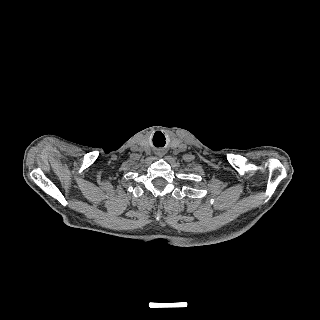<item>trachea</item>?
<instances>
[{
	"label": "trachea",
	"instance_id": "trachea-1",
	"mask_svg": "<svg viewBox=\"0 0 320 320\" xmlns=\"http://www.w3.org/2000/svg\"><path fill=\"white\" fill-rule=\"evenodd\" d=\"M156 134H157V133H156ZM156 134L154 135V138H153L154 144H156V138H155Z\"/></svg>",
	"mask_w": 320,
	"mask_h": 320
}]
</instances>
